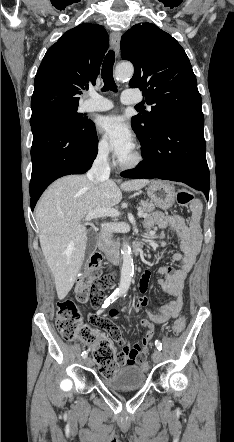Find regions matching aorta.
<instances>
[{
    "instance_id": "1",
    "label": "aorta",
    "mask_w": 234,
    "mask_h": 442,
    "mask_svg": "<svg viewBox=\"0 0 234 442\" xmlns=\"http://www.w3.org/2000/svg\"><path fill=\"white\" fill-rule=\"evenodd\" d=\"M133 73H134V68L131 63L119 64L116 66L115 69V77L119 81L131 78ZM121 254H122V267L120 275V284L117 290L120 294H125L127 293L130 287L134 271L131 247L127 242L123 243Z\"/></svg>"
}]
</instances>
